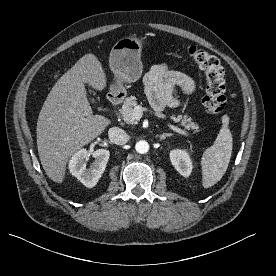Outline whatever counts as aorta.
I'll return each instance as SVG.
<instances>
[{"instance_id": "1", "label": "aorta", "mask_w": 276, "mask_h": 276, "mask_svg": "<svg viewBox=\"0 0 276 276\" xmlns=\"http://www.w3.org/2000/svg\"><path fill=\"white\" fill-rule=\"evenodd\" d=\"M135 149L140 154H145L149 151V144L145 140H140L136 143Z\"/></svg>"}]
</instances>
